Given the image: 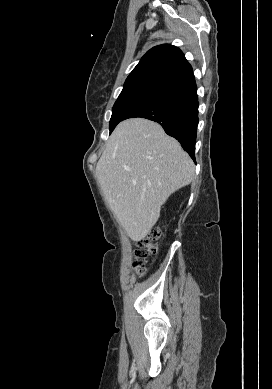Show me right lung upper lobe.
<instances>
[{
    "mask_svg": "<svg viewBox=\"0 0 272 389\" xmlns=\"http://www.w3.org/2000/svg\"><path fill=\"white\" fill-rule=\"evenodd\" d=\"M193 73L182 51L173 45L150 49L127 77L125 84L153 82L163 86Z\"/></svg>",
    "mask_w": 272,
    "mask_h": 389,
    "instance_id": "right-lung-upper-lobe-1",
    "label": "right lung upper lobe"
}]
</instances>
